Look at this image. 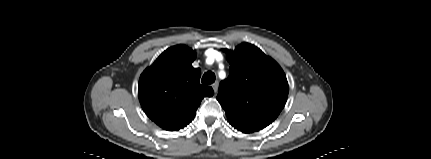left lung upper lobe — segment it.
I'll list each match as a JSON object with an SVG mask.
<instances>
[{
    "label": "left lung upper lobe",
    "instance_id": "1",
    "mask_svg": "<svg viewBox=\"0 0 431 159\" xmlns=\"http://www.w3.org/2000/svg\"><path fill=\"white\" fill-rule=\"evenodd\" d=\"M225 51L231 66L228 79L220 83L217 100L235 129L259 131L277 118L286 103V76L272 58L252 44Z\"/></svg>",
    "mask_w": 431,
    "mask_h": 159
}]
</instances>
